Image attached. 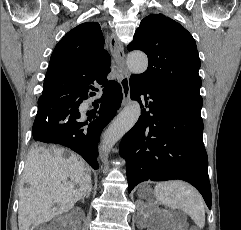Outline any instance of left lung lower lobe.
Segmentation results:
<instances>
[{
  "mask_svg": "<svg viewBox=\"0 0 241 230\" xmlns=\"http://www.w3.org/2000/svg\"><path fill=\"white\" fill-rule=\"evenodd\" d=\"M130 90L133 100L141 102L140 96L144 95L149 111L143 110L120 143V155L126 159L128 191L147 180L180 179L196 187L211 209L202 106L146 87L134 77L130 78Z\"/></svg>",
  "mask_w": 241,
  "mask_h": 230,
  "instance_id": "1",
  "label": "left lung lower lobe"
}]
</instances>
